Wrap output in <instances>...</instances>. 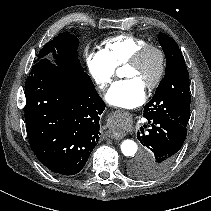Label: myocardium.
<instances>
[{"instance_id": "1", "label": "myocardium", "mask_w": 211, "mask_h": 211, "mask_svg": "<svg viewBox=\"0 0 211 211\" xmlns=\"http://www.w3.org/2000/svg\"><path fill=\"white\" fill-rule=\"evenodd\" d=\"M150 53H155L158 57V71L155 78L146 86L149 91L156 89L164 78L166 72V54L164 50L156 44L146 43L141 46L126 62V65H138Z\"/></svg>"}]
</instances>
